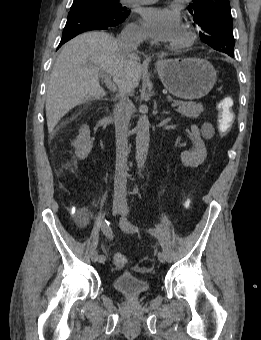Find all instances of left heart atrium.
I'll list each match as a JSON object with an SVG mask.
<instances>
[{
  "label": "left heart atrium",
  "instance_id": "left-heart-atrium-1",
  "mask_svg": "<svg viewBox=\"0 0 261 340\" xmlns=\"http://www.w3.org/2000/svg\"><path fill=\"white\" fill-rule=\"evenodd\" d=\"M147 36L158 43L173 42L181 30L179 14L169 8L147 7L141 11Z\"/></svg>",
  "mask_w": 261,
  "mask_h": 340
}]
</instances>
